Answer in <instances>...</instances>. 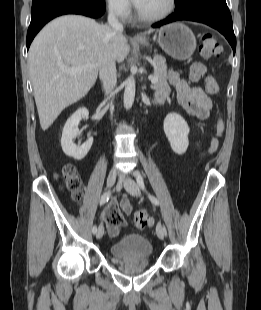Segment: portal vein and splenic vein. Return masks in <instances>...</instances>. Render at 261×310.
Masks as SVG:
<instances>
[{"label": "portal vein and splenic vein", "mask_w": 261, "mask_h": 310, "mask_svg": "<svg viewBox=\"0 0 261 310\" xmlns=\"http://www.w3.org/2000/svg\"><path fill=\"white\" fill-rule=\"evenodd\" d=\"M87 67H73V68H65V71L67 73H72V74H75V73H78V72H81L83 70H85ZM150 81L152 84H156L158 82V78L155 77V76H152L150 78Z\"/></svg>", "instance_id": "portal-vein-and-splenic-vein-1"}]
</instances>
